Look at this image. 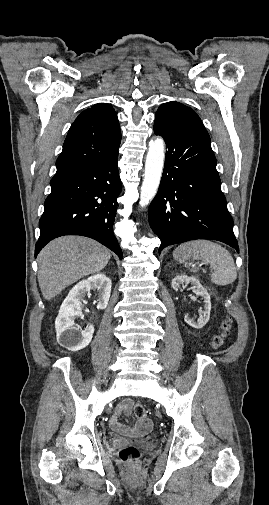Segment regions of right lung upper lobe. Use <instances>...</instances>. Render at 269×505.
<instances>
[{
  "label": "right lung upper lobe",
  "mask_w": 269,
  "mask_h": 505,
  "mask_svg": "<svg viewBox=\"0 0 269 505\" xmlns=\"http://www.w3.org/2000/svg\"><path fill=\"white\" fill-rule=\"evenodd\" d=\"M121 131L117 114L107 103L83 111L69 129L56 161L57 172L73 169L119 148Z\"/></svg>",
  "instance_id": "right-lung-upper-lobe-1"
}]
</instances>
